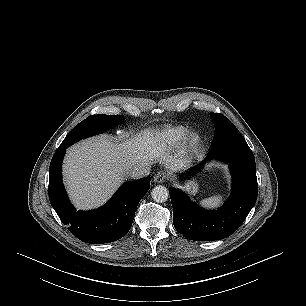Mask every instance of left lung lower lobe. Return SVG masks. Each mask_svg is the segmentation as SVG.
<instances>
[{
    "mask_svg": "<svg viewBox=\"0 0 306 306\" xmlns=\"http://www.w3.org/2000/svg\"><path fill=\"white\" fill-rule=\"evenodd\" d=\"M208 158L229 163L232 193L221 208L207 211L198 207L181 190L170 189L175 229L190 240L212 241L230 236L244 222L257 199L255 159L247 143L209 149ZM196 169H200L199 166Z\"/></svg>",
    "mask_w": 306,
    "mask_h": 306,
    "instance_id": "left-lung-lower-lobe-1",
    "label": "left lung lower lobe"
}]
</instances>
